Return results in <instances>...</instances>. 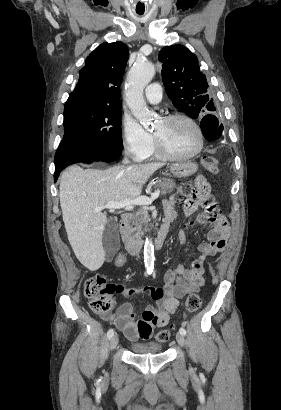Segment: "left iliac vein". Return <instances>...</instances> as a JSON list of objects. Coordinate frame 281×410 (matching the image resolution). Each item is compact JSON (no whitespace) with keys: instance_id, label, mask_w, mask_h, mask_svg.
I'll return each mask as SVG.
<instances>
[{"instance_id":"left-iliac-vein-1","label":"left iliac vein","mask_w":281,"mask_h":410,"mask_svg":"<svg viewBox=\"0 0 281 410\" xmlns=\"http://www.w3.org/2000/svg\"><path fill=\"white\" fill-rule=\"evenodd\" d=\"M176 341L181 347H185V339L180 332L176 334Z\"/></svg>"}]
</instances>
